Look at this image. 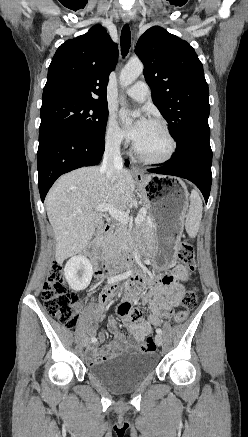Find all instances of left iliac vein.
I'll return each mask as SVG.
<instances>
[{"instance_id": "1", "label": "left iliac vein", "mask_w": 248, "mask_h": 437, "mask_svg": "<svg viewBox=\"0 0 248 437\" xmlns=\"http://www.w3.org/2000/svg\"><path fill=\"white\" fill-rule=\"evenodd\" d=\"M155 342H156V344H157L158 346H161V345H162V343H163V338H162V336H161L160 334H157V335L155 336Z\"/></svg>"}]
</instances>
